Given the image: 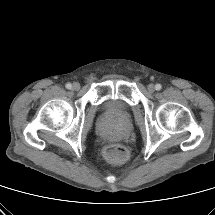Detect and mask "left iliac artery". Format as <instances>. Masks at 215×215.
I'll return each instance as SVG.
<instances>
[{
    "instance_id": "44dca946",
    "label": "left iliac artery",
    "mask_w": 215,
    "mask_h": 215,
    "mask_svg": "<svg viewBox=\"0 0 215 215\" xmlns=\"http://www.w3.org/2000/svg\"><path fill=\"white\" fill-rule=\"evenodd\" d=\"M161 88H162L161 84H156V85H155V89H156V90H161Z\"/></svg>"
}]
</instances>
